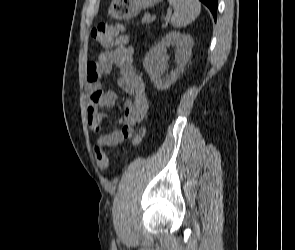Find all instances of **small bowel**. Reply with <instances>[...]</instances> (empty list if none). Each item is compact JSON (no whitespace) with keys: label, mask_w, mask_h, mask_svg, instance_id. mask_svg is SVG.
<instances>
[{"label":"small bowel","mask_w":295,"mask_h":250,"mask_svg":"<svg viewBox=\"0 0 295 250\" xmlns=\"http://www.w3.org/2000/svg\"><path fill=\"white\" fill-rule=\"evenodd\" d=\"M112 69L118 70V85L129 96V100L120 120L121 128L105 131L107 115L101 109L111 108L115 104L116 93L104 90L101 78ZM86 83L87 121L96 136L95 145L113 147L125 139H134L135 126L146 118L150 105L144 80L134 65L128 36L119 37L114 49L103 52L97 60L88 63Z\"/></svg>","instance_id":"obj_1"}]
</instances>
